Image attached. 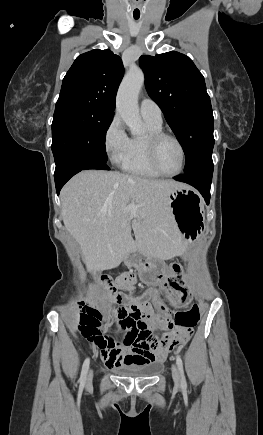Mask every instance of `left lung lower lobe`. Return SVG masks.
Instances as JSON below:
<instances>
[{
    "instance_id": "obj_1",
    "label": "left lung lower lobe",
    "mask_w": 263,
    "mask_h": 435,
    "mask_svg": "<svg viewBox=\"0 0 263 435\" xmlns=\"http://www.w3.org/2000/svg\"><path fill=\"white\" fill-rule=\"evenodd\" d=\"M213 174L212 156L200 159L182 176H175L177 181L185 182L195 187L204 197L206 203L210 200V187Z\"/></svg>"
}]
</instances>
